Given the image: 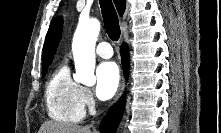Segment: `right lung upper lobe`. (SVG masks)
Here are the masks:
<instances>
[{
	"mask_svg": "<svg viewBox=\"0 0 221 133\" xmlns=\"http://www.w3.org/2000/svg\"><path fill=\"white\" fill-rule=\"evenodd\" d=\"M115 6L119 15H123L125 11V0H114ZM61 32V22L58 18L53 20L50 24L48 33L46 35L45 44L43 47L42 63L43 65L51 64L54 57L56 47L59 42V35Z\"/></svg>",
	"mask_w": 221,
	"mask_h": 133,
	"instance_id": "obj_1",
	"label": "right lung upper lobe"
}]
</instances>
